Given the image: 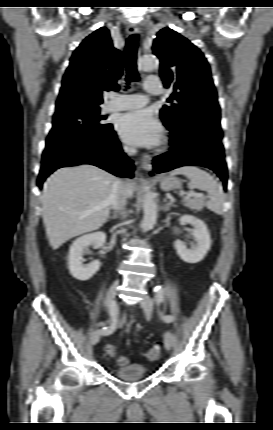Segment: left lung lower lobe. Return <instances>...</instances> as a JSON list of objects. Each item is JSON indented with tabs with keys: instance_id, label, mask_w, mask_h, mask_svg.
I'll use <instances>...</instances> for the list:
<instances>
[{
	"instance_id": "1",
	"label": "left lung lower lobe",
	"mask_w": 273,
	"mask_h": 430,
	"mask_svg": "<svg viewBox=\"0 0 273 430\" xmlns=\"http://www.w3.org/2000/svg\"><path fill=\"white\" fill-rule=\"evenodd\" d=\"M164 125L171 131L170 151L153 160V172L162 173L181 166L199 165L213 170L227 188V167L224 148L221 143L220 120L213 115H201L182 128Z\"/></svg>"
}]
</instances>
